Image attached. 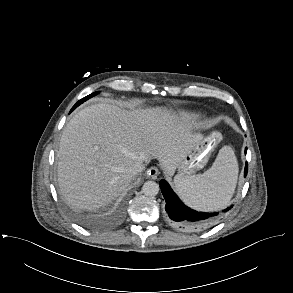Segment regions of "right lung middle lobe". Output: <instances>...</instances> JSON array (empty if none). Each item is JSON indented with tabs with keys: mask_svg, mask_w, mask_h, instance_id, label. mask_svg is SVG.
Instances as JSON below:
<instances>
[{
	"mask_svg": "<svg viewBox=\"0 0 293 293\" xmlns=\"http://www.w3.org/2000/svg\"><path fill=\"white\" fill-rule=\"evenodd\" d=\"M99 92H94L86 97H84L83 99L79 100L75 105H74V108H76L77 106H79L80 104H82L83 102H85L86 100H88L89 98L97 95Z\"/></svg>",
	"mask_w": 293,
	"mask_h": 293,
	"instance_id": "1",
	"label": "right lung middle lobe"
}]
</instances>
